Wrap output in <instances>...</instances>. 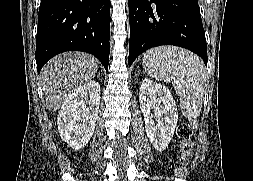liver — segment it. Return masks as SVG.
Segmentation results:
<instances>
[{"mask_svg": "<svg viewBox=\"0 0 253 181\" xmlns=\"http://www.w3.org/2000/svg\"><path fill=\"white\" fill-rule=\"evenodd\" d=\"M97 70V60L87 53L68 52L50 60L41 72L47 109H59L72 91L95 77Z\"/></svg>", "mask_w": 253, "mask_h": 181, "instance_id": "liver-1", "label": "liver"}]
</instances>
